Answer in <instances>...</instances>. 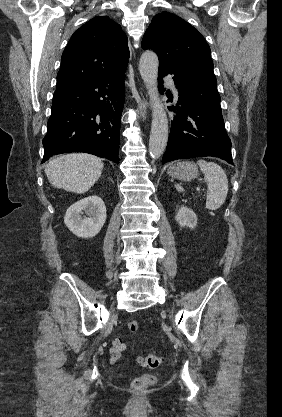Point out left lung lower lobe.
<instances>
[{
    "label": "left lung lower lobe",
    "instance_id": "1",
    "mask_svg": "<svg viewBox=\"0 0 282 417\" xmlns=\"http://www.w3.org/2000/svg\"><path fill=\"white\" fill-rule=\"evenodd\" d=\"M174 74L173 80L179 91L176 112L171 122L170 137L162 164L194 157L213 156L234 165L231 141L228 137L220 107L217 80L213 72L183 70L174 72L159 69L160 93H163L162 77ZM173 101V95H168Z\"/></svg>",
    "mask_w": 282,
    "mask_h": 417
}]
</instances>
